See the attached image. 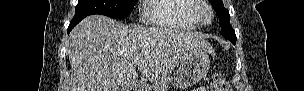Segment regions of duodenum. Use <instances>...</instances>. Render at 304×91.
Instances as JSON below:
<instances>
[{"label":"duodenum","mask_w":304,"mask_h":91,"mask_svg":"<svg viewBox=\"0 0 304 91\" xmlns=\"http://www.w3.org/2000/svg\"><path fill=\"white\" fill-rule=\"evenodd\" d=\"M133 90L134 91H146V86L142 82H136L133 85Z\"/></svg>","instance_id":"obj_1"}]
</instances>
